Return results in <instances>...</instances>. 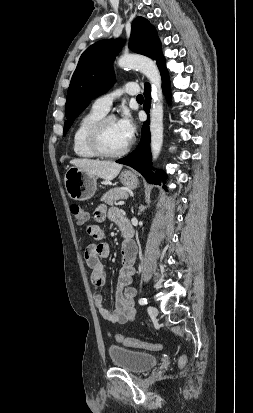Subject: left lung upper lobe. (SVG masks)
Masks as SVG:
<instances>
[{
	"label": "left lung upper lobe",
	"instance_id": "5c2ea615",
	"mask_svg": "<svg viewBox=\"0 0 253 413\" xmlns=\"http://www.w3.org/2000/svg\"><path fill=\"white\" fill-rule=\"evenodd\" d=\"M120 48V40L108 39L96 42L83 52L67 92V121L64 124L63 135H66L75 118L90 101L105 93L114 84L112 62ZM129 48L156 60L158 66L165 60L155 28L143 17H137L132 22Z\"/></svg>",
	"mask_w": 253,
	"mask_h": 413
}]
</instances>
